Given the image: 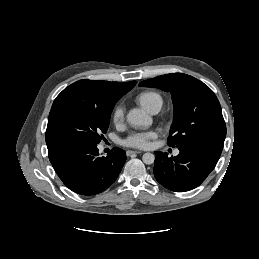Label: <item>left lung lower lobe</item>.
<instances>
[{
    "label": "left lung lower lobe",
    "mask_w": 259,
    "mask_h": 259,
    "mask_svg": "<svg viewBox=\"0 0 259 259\" xmlns=\"http://www.w3.org/2000/svg\"><path fill=\"white\" fill-rule=\"evenodd\" d=\"M224 141L199 139L183 144L180 153L168 158L167 153L155 152L154 175L169 190L189 191L199 186L215 168Z\"/></svg>",
    "instance_id": "0a47b994"
}]
</instances>
